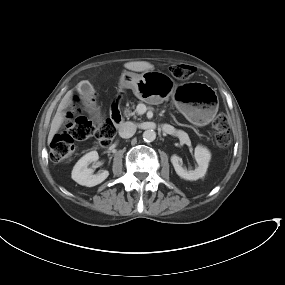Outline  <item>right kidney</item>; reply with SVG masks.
Here are the masks:
<instances>
[{"label":"right kidney","mask_w":285,"mask_h":285,"mask_svg":"<svg viewBox=\"0 0 285 285\" xmlns=\"http://www.w3.org/2000/svg\"><path fill=\"white\" fill-rule=\"evenodd\" d=\"M99 159L97 151H91L78 160L72 170V179L80 185L93 187L102 183L108 176L107 170L98 174H93V170L88 165Z\"/></svg>","instance_id":"obj_1"}]
</instances>
